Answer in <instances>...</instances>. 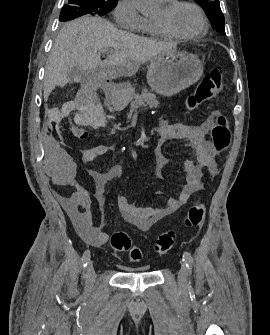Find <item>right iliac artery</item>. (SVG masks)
<instances>
[{"label":"right iliac artery","instance_id":"obj_1","mask_svg":"<svg viewBox=\"0 0 270 335\" xmlns=\"http://www.w3.org/2000/svg\"><path fill=\"white\" fill-rule=\"evenodd\" d=\"M81 260H82V266L85 269L87 267V265H88L89 260H90V251L89 250H86L83 253V256H82ZM83 277H85V274H84Z\"/></svg>","mask_w":270,"mask_h":335}]
</instances>
